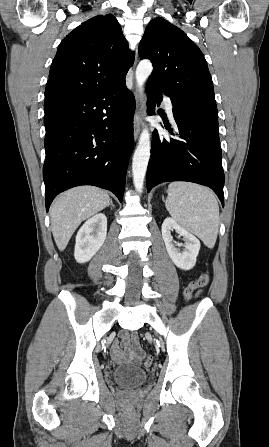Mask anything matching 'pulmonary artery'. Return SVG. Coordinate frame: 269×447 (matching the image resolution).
<instances>
[{
    "instance_id": "obj_1",
    "label": "pulmonary artery",
    "mask_w": 269,
    "mask_h": 447,
    "mask_svg": "<svg viewBox=\"0 0 269 447\" xmlns=\"http://www.w3.org/2000/svg\"><path fill=\"white\" fill-rule=\"evenodd\" d=\"M164 107H165V109H166V111H167V114H168V116H169V118L172 120V121H174V117H173V106H172V103H171V100H170V98H168V97H166L165 99H164Z\"/></svg>"
}]
</instances>
